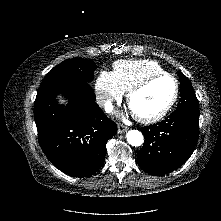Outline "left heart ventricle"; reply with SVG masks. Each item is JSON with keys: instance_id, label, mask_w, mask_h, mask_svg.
I'll use <instances>...</instances> for the list:
<instances>
[{"instance_id": "obj_1", "label": "left heart ventricle", "mask_w": 221, "mask_h": 221, "mask_svg": "<svg viewBox=\"0 0 221 221\" xmlns=\"http://www.w3.org/2000/svg\"><path fill=\"white\" fill-rule=\"evenodd\" d=\"M174 93V84L169 78L153 81L137 93L130 101L132 112L140 116H151L161 111Z\"/></svg>"}]
</instances>
